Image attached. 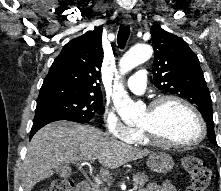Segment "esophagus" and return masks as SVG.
Segmentation results:
<instances>
[{
  "label": "esophagus",
  "instance_id": "esophagus-1",
  "mask_svg": "<svg viewBox=\"0 0 221 191\" xmlns=\"http://www.w3.org/2000/svg\"><path fill=\"white\" fill-rule=\"evenodd\" d=\"M123 23H124L125 25H130V24H132V23H133V20H132L131 16H130V15H125L124 18H123Z\"/></svg>",
  "mask_w": 221,
  "mask_h": 191
}]
</instances>
